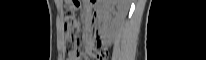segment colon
<instances>
[{
	"label": "colon",
	"instance_id": "obj_1",
	"mask_svg": "<svg viewBox=\"0 0 206 60\" xmlns=\"http://www.w3.org/2000/svg\"><path fill=\"white\" fill-rule=\"evenodd\" d=\"M65 28L67 31V51L72 57L78 55V45L80 42V28L78 21L72 14L66 17ZM95 57L97 60H106L107 52L98 47Z\"/></svg>",
	"mask_w": 206,
	"mask_h": 60
}]
</instances>
